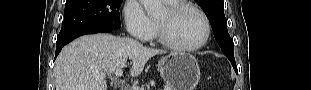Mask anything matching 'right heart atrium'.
<instances>
[{
	"mask_svg": "<svg viewBox=\"0 0 311 90\" xmlns=\"http://www.w3.org/2000/svg\"><path fill=\"white\" fill-rule=\"evenodd\" d=\"M124 20L128 32L141 41L152 37L153 21L138 0H127L124 6Z\"/></svg>",
	"mask_w": 311,
	"mask_h": 90,
	"instance_id": "right-heart-atrium-1",
	"label": "right heart atrium"
}]
</instances>
